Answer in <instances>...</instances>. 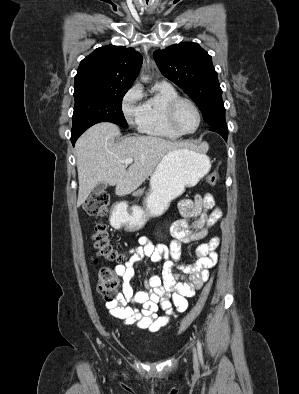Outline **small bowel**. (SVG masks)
I'll return each mask as SVG.
<instances>
[{
  "label": "small bowel",
  "mask_w": 299,
  "mask_h": 394,
  "mask_svg": "<svg viewBox=\"0 0 299 394\" xmlns=\"http://www.w3.org/2000/svg\"><path fill=\"white\" fill-rule=\"evenodd\" d=\"M178 209L183 219L175 221L170 227L174 240L169 246L153 244L145 236L138 238V244L126 251L129 261L116 266V274L122 280V293L114 300L106 302L110 314L126 325L134 324L139 329L157 332L187 308L186 298L195 295L197 289L209 278V269L218 260L216 249L220 238L214 237L206 243L189 249L196 257L190 264L181 263L182 245L204 239L209 229L221 218L222 211L215 206L211 193L181 199ZM170 257L160 275H151L145 280V289L135 292L131 282L135 275V265L144 258L153 262ZM177 269L180 273L174 272ZM171 296V300L168 296ZM129 303L135 306L128 305ZM136 306H141L138 308ZM166 314L157 315L158 308Z\"/></svg>",
  "instance_id": "c3829d8e"
}]
</instances>
